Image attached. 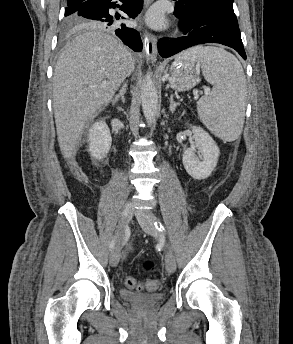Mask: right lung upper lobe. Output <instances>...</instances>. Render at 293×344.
I'll use <instances>...</instances> for the list:
<instances>
[{
	"label": "right lung upper lobe",
	"mask_w": 293,
	"mask_h": 344,
	"mask_svg": "<svg viewBox=\"0 0 293 344\" xmlns=\"http://www.w3.org/2000/svg\"><path fill=\"white\" fill-rule=\"evenodd\" d=\"M85 0H67V5L79 4Z\"/></svg>",
	"instance_id": "cb5924a9"
}]
</instances>
